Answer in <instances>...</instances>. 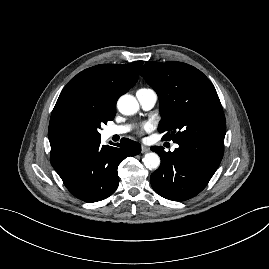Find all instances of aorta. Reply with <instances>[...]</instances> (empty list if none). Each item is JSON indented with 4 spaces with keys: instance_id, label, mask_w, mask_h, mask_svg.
Here are the masks:
<instances>
[{
    "instance_id": "1",
    "label": "aorta",
    "mask_w": 269,
    "mask_h": 269,
    "mask_svg": "<svg viewBox=\"0 0 269 269\" xmlns=\"http://www.w3.org/2000/svg\"><path fill=\"white\" fill-rule=\"evenodd\" d=\"M117 108L123 115H133L138 111L139 104L134 96L126 94L118 99ZM142 161L145 167L150 170L160 166V157L154 152L145 154Z\"/></svg>"
}]
</instances>
